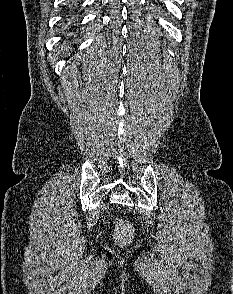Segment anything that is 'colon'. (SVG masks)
Instances as JSON below:
<instances>
[{
	"instance_id": "obj_1",
	"label": "colon",
	"mask_w": 233,
	"mask_h": 294,
	"mask_svg": "<svg viewBox=\"0 0 233 294\" xmlns=\"http://www.w3.org/2000/svg\"><path fill=\"white\" fill-rule=\"evenodd\" d=\"M133 237L132 225L123 219L115 220V240L121 245L128 244Z\"/></svg>"
}]
</instances>
